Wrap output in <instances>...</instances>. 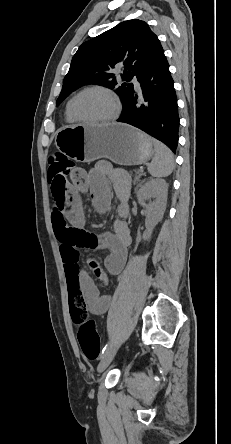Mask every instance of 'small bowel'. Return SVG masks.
Segmentation results:
<instances>
[{
  "label": "small bowel",
  "instance_id": "obj_1",
  "mask_svg": "<svg viewBox=\"0 0 231 444\" xmlns=\"http://www.w3.org/2000/svg\"><path fill=\"white\" fill-rule=\"evenodd\" d=\"M49 181V180H48ZM51 191L54 185L49 181ZM113 185L119 200L118 216L112 230L96 234L85 230L81 192H89L94 207L104 212L108 209L112 197L110 185ZM131 181L123 172L115 171L107 163L97 164L89 173L78 170L71 175V181L58 188L55 196L56 208L52 212V226L60 242V253L64 265L67 285H78L86 307L91 314L102 315L110 306V297L101 293L99 286L79 264L82 249H103L107 252L104 269L96 262H90V268L102 281L108 275H118L123 269L130 245L129 229L125 222L128 217V200Z\"/></svg>",
  "mask_w": 231,
  "mask_h": 444
}]
</instances>
